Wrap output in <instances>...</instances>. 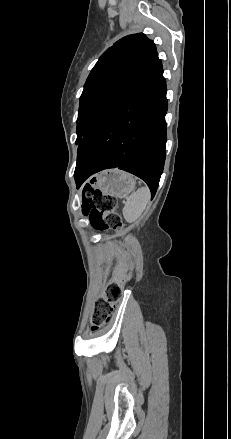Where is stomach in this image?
I'll return each instance as SVG.
<instances>
[{"mask_svg":"<svg viewBox=\"0 0 231 439\" xmlns=\"http://www.w3.org/2000/svg\"><path fill=\"white\" fill-rule=\"evenodd\" d=\"M94 186L104 195L124 198L135 188L134 178L126 172L113 169L98 174Z\"/></svg>","mask_w":231,"mask_h":439,"instance_id":"1","label":"stomach"}]
</instances>
